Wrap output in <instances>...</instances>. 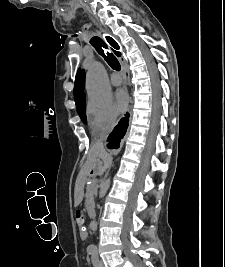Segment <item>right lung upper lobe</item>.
Here are the masks:
<instances>
[{
	"instance_id": "obj_1",
	"label": "right lung upper lobe",
	"mask_w": 225,
	"mask_h": 267,
	"mask_svg": "<svg viewBox=\"0 0 225 267\" xmlns=\"http://www.w3.org/2000/svg\"><path fill=\"white\" fill-rule=\"evenodd\" d=\"M84 85H85L84 70L78 69L74 84V100L77 109L82 105L83 102H85Z\"/></svg>"
}]
</instances>
